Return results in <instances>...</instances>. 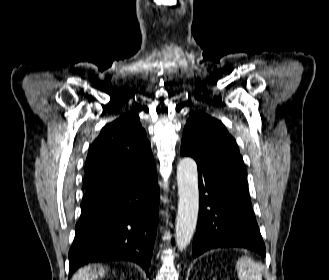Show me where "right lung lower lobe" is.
<instances>
[{
    "instance_id": "obj_1",
    "label": "right lung lower lobe",
    "mask_w": 329,
    "mask_h": 280,
    "mask_svg": "<svg viewBox=\"0 0 329 280\" xmlns=\"http://www.w3.org/2000/svg\"><path fill=\"white\" fill-rule=\"evenodd\" d=\"M156 170L133 178H110L86 189L75 239L69 250V278L89 262L129 260L148 275L157 229Z\"/></svg>"
}]
</instances>
